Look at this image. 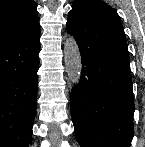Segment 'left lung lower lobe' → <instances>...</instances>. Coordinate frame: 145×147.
<instances>
[{
	"instance_id": "0a47b994",
	"label": "left lung lower lobe",
	"mask_w": 145,
	"mask_h": 147,
	"mask_svg": "<svg viewBox=\"0 0 145 147\" xmlns=\"http://www.w3.org/2000/svg\"><path fill=\"white\" fill-rule=\"evenodd\" d=\"M67 31L82 58L81 79L70 98L78 143L129 147L135 106L128 46L117 12L101 0H76Z\"/></svg>"
}]
</instances>
